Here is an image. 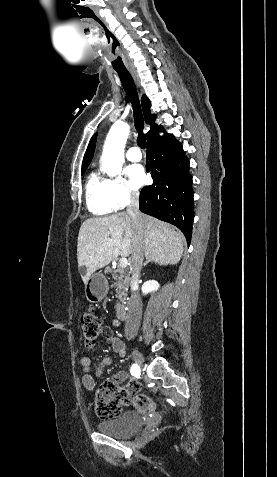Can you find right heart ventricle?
<instances>
[{
    "mask_svg": "<svg viewBox=\"0 0 277 477\" xmlns=\"http://www.w3.org/2000/svg\"><path fill=\"white\" fill-rule=\"evenodd\" d=\"M86 205L94 215H107L114 211L108 195L107 179L92 171L85 184Z\"/></svg>",
    "mask_w": 277,
    "mask_h": 477,
    "instance_id": "e07e8e85",
    "label": "right heart ventricle"
}]
</instances>
